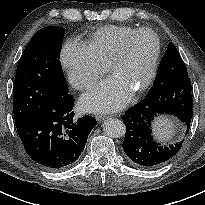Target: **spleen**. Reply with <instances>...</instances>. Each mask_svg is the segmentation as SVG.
Returning a JSON list of instances; mask_svg holds the SVG:
<instances>
[{
	"mask_svg": "<svg viewBox=\"0 0 205 205\" xmlns=\"http://www.w3.org/2000/svg\"><path fill=\"white\" fill-rule=\"evenodd\" d=\"M153 130L157 138L163 142L171 140L175 135V125L171 119L161 117L154 122Z\"/></svg>",
	"mask_w": 205,
	"mask_h": 205,
	"instance_id": "3e777b00",
	"label": "spleen"
}]
</instances>
